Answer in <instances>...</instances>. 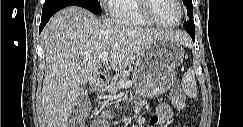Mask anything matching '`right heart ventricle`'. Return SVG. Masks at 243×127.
Wrapping results in <instances>:
<instances>
[{"instance_id":"e07e8e85","label":"right heart ventricle","mask_w":243,"mask_h":127,"mask_svg":"<svg viewBox=\"0 0 243 127\" xmlns=\"http://www.w3.org/2000/svg\"><path fill=\"white\" fill-rule=\"evenodd\" d=\"M109 11L116 20L138 26H155L142 12L141 0H110Z\"/></svg>"}]
</instances>
